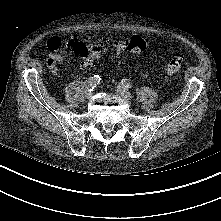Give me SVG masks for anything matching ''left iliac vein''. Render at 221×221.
Wrapping results in <instances>:
<instances>
[{
  "label": "left iliac vein",
  "instance_id": "4c4485c4",
  "mask_svg": "<svg viewBox=\"0 0 221 221\" xmlns=\"http://www.w3.org/2000/svg\"><path fill=\"white\" fill-rule=\"evenodd\" d=\"M117 93L119 94V95H121L123 98H125V99H130V98H132V94H131V92L128 90V89H126V88H124V87H122V86H119L118 88H117Z\"/></svg>",
  "mask_w": 221,
  "mask_h": 221
}]
</instances>
